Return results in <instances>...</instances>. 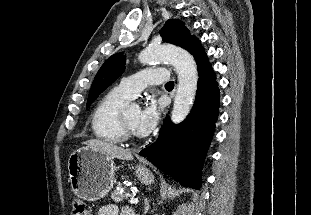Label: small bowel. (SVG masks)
<instances>
[{
    "instance_id": "1",
    "label": "small bowel",
    "mask_w": 311,
    "mask_h": 215,
    "mask_svg": "<svg viewBox=\"0 0 311 215\" xmlns=\"http://www.w3.org/2000/svg\"><path fill=\"white\" fill-rule=\"evenodd\" d=\"M132 211L130 209H123L121 214H119V209L116 205L110 204L103 206L99 209L98 215H131Z\"/></svg>"
}]
</instances>
